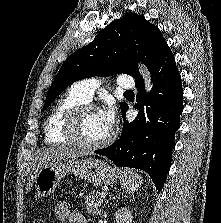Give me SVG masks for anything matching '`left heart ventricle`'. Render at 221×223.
Segmentation results:
<instances>
[{"mask_svg":"<svg viewBox=\"0 0 221 223\" xmlns=\"http://www.w3.org/2000/svg\"><path fill=\"white\" fill-rule=\"evenodd\" d=\"M111 132L100 111L87 112L81 119L77 135L85 143H98L104 140Z\"/></svg>","mask_w":221,"mask_h":223,"instance_id":"b2bd125f","label":"left heart ventricle"}]
</instances>
